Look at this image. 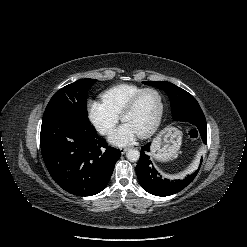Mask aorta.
<instances>
[{"label":"aorta","instance_id":"762f6f07","mask_svg":"<svg viewBox=\"0 0 247 247\" xmlns=\"http://www.w3.org/2000/svg\"><path fill=\"white\" fill-rule=\"evenodd\" d=\"M126 157L130 162H136L139 160L140 152L137 149H130L127 151Z\"/></svg>","mask_w":247,"mask_h":247}]
</instances>
